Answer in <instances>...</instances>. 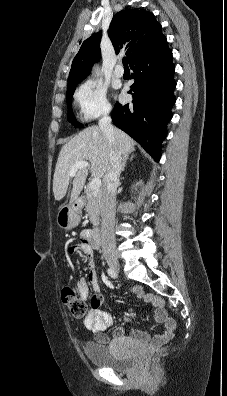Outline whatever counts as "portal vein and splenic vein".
Segmentation results:
<instances>
[{
    "label": "portal vein and splenic vein",
    "mask_w": 227,
    "mask_h": 396,
    "mask_svg": "<svg viewBox=\"0 0 227 396\" xmlns=\"http://www.w3.org/2000/svg\"><path fill=\"white\" fill-rule=\"evenodd\" d=\"M86 167H89V163L87 161H79L75 163L70 171V176H74L78 169ZM89 187L91 190L98 191L101 187V179L99 177H94L91 180Z\"/></svg>",
    "instance_id": "obj_1"
}]
</instances>
